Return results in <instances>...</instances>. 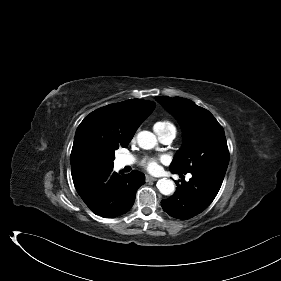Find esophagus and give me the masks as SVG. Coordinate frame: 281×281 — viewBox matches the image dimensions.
Here are the masks:
<instances>
[{
	"label": "esophagus",
	"instance_id": "esophagus-1",
	"mask_svg": "<svg viewBox=\"0 0 281 281\" xmlns=\"http://www.w3.org/2000/svg\"><path fill=\"white\" fill-rule=\"evenodd\" d=\"M157 180V178H155V177H152V176H146V181L147 182H150V181H156Z\"/></svg>",
	"mask_w": 281,
	"mask_h": 281
}]
</instances>
